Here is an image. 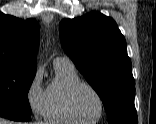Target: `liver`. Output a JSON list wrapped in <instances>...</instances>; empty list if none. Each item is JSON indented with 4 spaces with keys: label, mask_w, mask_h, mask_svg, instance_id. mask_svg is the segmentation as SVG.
I'll return each instance as SVG.
<instances>
[{
    "label": "liver",
    "mask_w": 156,
    "mask_h": 124,
    "mask_svg": "<svg viewBox=\"0 0 156 124\" xmlns=\"http://www.w3.org/2000/svg\"><path fill=\"white\" fill-rule=\"evenodd\" d=\"M0 124H11L9 121L0 118Z\"/></svg>",
    "instance_id": "1"
}]
</instances>
